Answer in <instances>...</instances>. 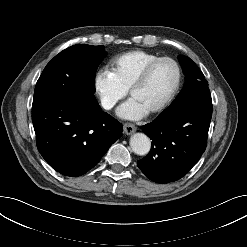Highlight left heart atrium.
<instances>
[{
	"mask_svg": "<svg viewBox=\"0 0 247 247\" xmlns=\"http://www.w3.org/2000/svg\"><path fill=\"white\" fill-rule=\"evenodd\" d=\"M148 112L149 110L135 98H130L117 110V114L119 117L128 120L142 119L148 114Z\"/></svg>",
	"mask_w": 247,
	"mask_h": 247,
	"instance_id": "left-heart-atrium-1",
	"label": "left heart atrium"
}]
</instances>
